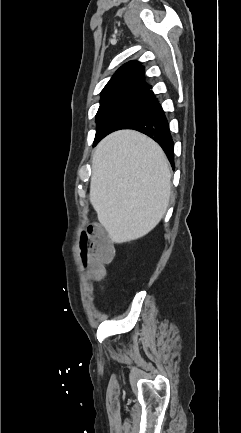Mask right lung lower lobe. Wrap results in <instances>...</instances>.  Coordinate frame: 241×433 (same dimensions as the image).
Masks as SVG:
<instances>
[{
    "label": "right lung lower lobe",
    "mask_w": 241,
    "mask_h": 433,
    "mask_svg": "<svg viewBox=\"0 0 241 433\" xmlns=\"http://www.w3.org/2000/svg\"><path fill=\"white\" fill-rule=\"evenodd\" d=\"M122 129L140 131L155 140L165 151L173 166V140L168 121L158 100L154 97L150 105Z\"/></svg>",
    "instance_id": "98d812e1"
}]
</instances>
